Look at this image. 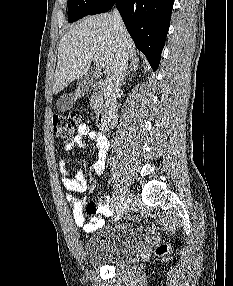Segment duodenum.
<instances>
[{"label":"duodenum","mask_w":233,"mask_h":286,"mask_svg":"<svg viewBox=\"0 0 233 286\" xmlns=\"http://www.w3.org/2000/svg\"><path fill=\"white\" fill-rule=\"evenodd\" d=\"M96 122L100 130L110 131V113L107 104L106 89L103 83H98L95 88Z\"/></svg>","instance_id":"duodenum-1"}]
</instances>
